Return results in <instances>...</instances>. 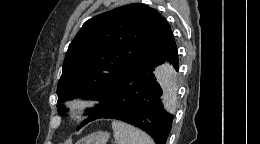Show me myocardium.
<instances>
[{"label": "myocardium", "mask_w": 260, "mask_h": 144, "mask_svg": "<svg viewBox=\"0 0 260 144\" xmlns=\"http://www.w3.org/2000/svg\"><path fill=\"white\" fill-rule=\"evenodd\" d=\"M91 101L85 96H75L66 103L67 115L71 120L82 121L90 107Z\"/></svg>", "instance_id": "f54148a6"}]
</instances>
